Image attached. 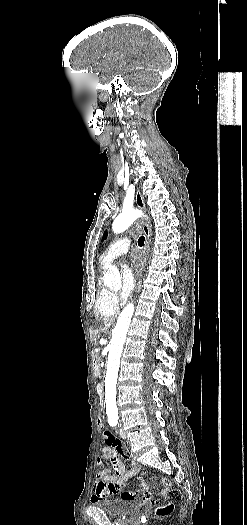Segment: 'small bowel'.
<instances>
[{"instance_id":"obj_1","label":"small bowel","mask_w":247,"mask_h":525,"mask_svg":"<svg viewBox=\"0 0 247 525\" xmlns=\"http://www.w3.org/2000/svg\"><path fill=\"white\" fill-rule=\"evenodd\" d=\"M102 440L105 444L102 450L104 460L111 463L112 470L103 467L102 459H97L96 465L98 467L96 494L93 496V504L95 506H108L114 502L111 497L119 492V490L126 485L132 475L137 474L140 469V463L131 459L129 452L123 444L110 431H105L102 434ZM123 460H130L132 469L128 471L124 465ZM143 485V482H140ZM163 488H168L170 483L163 481L161 483ZM144 500L151 501V491L143 485ZM121 500L130 501L132 504H141L143 502V495L141 493L124 492L121 494Z\"/></svg>"}]
</instances>
